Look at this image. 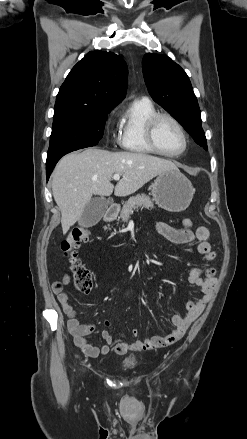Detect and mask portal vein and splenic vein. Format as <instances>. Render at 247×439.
Listing matches in <instances>:
<instances>
[{"label": "portal vein and splenic vein", "instance_id": "obj_1", "mask_svg": "<svg viewBox=\"0 0 247 439\" xmlns=\"http://www.w3.org/2000/svg\"><path fill=\"white\" fill-rule=\"evenodd\" d=\"M120 177H121V175H119V174H114L113 175V179L116 180V181H118L120 179Z\"/></svg>", "mask_w": 247, "mask_h": 439}]
</instances>
